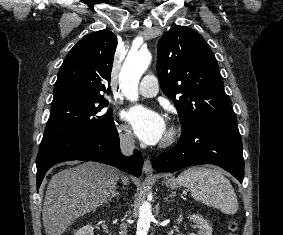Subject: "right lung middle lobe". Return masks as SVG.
<instances>
[{
  "label": "right lung middle lobe",
  "instance_id": "1",
  "mask_svg": "<svg viewBox=\"0 0 283 235\" xmlns=\"http://www.w3.org/2000/svg\"><path fill=\"white\" fill-rule=\"evenodd\" d=\"M107 105L103 96L71 97L53 103L40 151L76 136L94 135L114 127L112 110H104Z\"/></svg>",
  "mask_w": 283,
  "mask_h": 235
}]
</instances>
